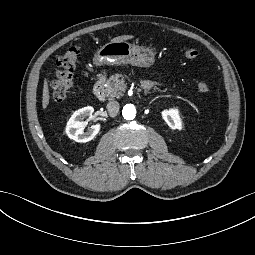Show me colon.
Returning <instances> with one entry per match:
<instances>
[{"instance_id":"colon-1","label":"colon","mask_w":255,"mask_h":255,"mask_svg":"<svg viewBox=\"0 0 255 255\" xmlns=\"http://www.w3.org/2000/svg\"><path fill=\"white\" fill-rule=\"evenodd\" d=\"M183 53L188 59H194L198 55V51L189 46H183ZM79 55V47L73 46L57 59L58 69L56 70L55 78L51 82L52 96L55 101H63L69 95L73 86V74ZM198 89L201 92H206L209 90V85L201 82L198 84Z\"/></svg>"}]
</instances>
